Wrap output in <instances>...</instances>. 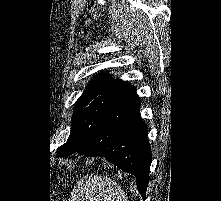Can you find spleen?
Returning a JSON list of instances; mask_svg holds the SVG:
<instances>
[{"label":"spleen","mask_w":221,"mask_h":201,"mask_svg":"<svg viewBox=\"0 0 221 201\" xmlns=\"http://www.w3.org/2000/svg\"><path fill=\"white\" fill-rule=\"evenodd\" d=\"M71 201H127V197L115 181L94 175L77 184Z\"/></svg>","instance_id":"3e777b00"}]
</instances>
